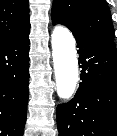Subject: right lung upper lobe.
<instances>
[{"label": "right lung upper lobe", "instance_id": "cb5924a9", "mask_svg": "<svg viewBox=\"0 0 117 136\" xmlns=\"http://www.w3.org/2000/svg\"><path fill=\"white\" fill-rule=\"evenodd\" d=\"M30 28L28 0H0V41Z\"/></svg>", "mask_w": 117, "mask_h": 136}]
</instances>
